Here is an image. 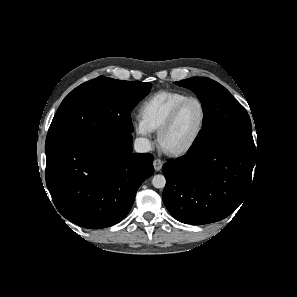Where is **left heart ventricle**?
Segmentation results:
<instances>
[{
    "instance_id": "left-heart-ventricle-1",
    "label": "left heart ventricle",
    "mask_w": 297,
    "mask_h": 297,
    "mask_svg": "<svg viewBox=\"0 0 297 297\" xmlns=\"http://www.w3.org/2000/svg\"><path fill=\"white\" fill-rule=\"evenodd\" d=\"M200 122V106L196 102L188 103L180 112L173 127L164 136V147L175 150L187 145L197 132Z\"/></svg>"
}]
</instances>
